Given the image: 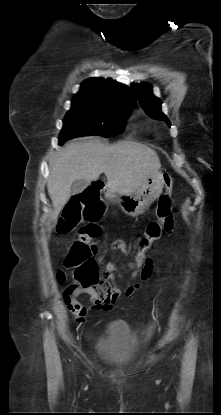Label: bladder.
Returning a JSON list of instances; mask_svg holds the SVG:
<instances>
[{"mask_svg": "<svg viewBox=\"0 0 221 415\" xmlns=\"http://www.w3.org/2000/svg\"><path fill=\"white\" fill-rule=\"evenodd\" d=\"M99 356L106 362L122 364L137 352V342L129 325L122 320L110 322L96 344Z\"/></svg>", "mask_w": 221, "mask_h": 415, "instance_id": "1", "label": "bladder"}]
</instances>
